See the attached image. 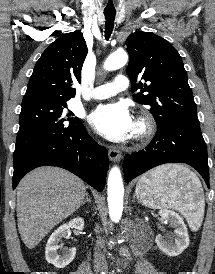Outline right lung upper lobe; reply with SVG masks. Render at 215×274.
Instances as JSON below:
<instances>
[{
    "mask_svg": "<svg viewBox=\"0 0 215 274\" xmlns=\"http://www.w3.org/2000/svg\"><path fill=\"white\" fill-rule=\"evenodd\" d=\"M87 46L80 31L66 33L43 52L27 85L22 105L36 101H68L75 97L73 84L80 74L87 55Z\"/></svg>",
    "mask_w": 215,
    "mask_h": 274,
    "instance_id": "right-lung-upper-lobe-1",
    "label": "right lung upper lobe"
}]
</instances>
